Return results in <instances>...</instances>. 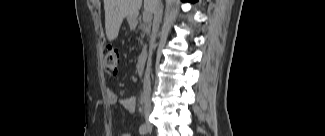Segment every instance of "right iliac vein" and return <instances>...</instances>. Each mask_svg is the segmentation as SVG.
Listing matches in <instances>:
<instances>
[{
  "instance_id": "63e3f726",
  "label": "right iliac vein",
  "mask_w": 325,
  "mask_h": 136,
  "mask_svg": "<svg viewBox=\"0 0 325 136\" xmlns=\"http://www.w3.org/2000/svg\"><path fill=\"white\" fill-rule=\"evenodd\" d=\"M146 124H147V126H149V125H150V122H149V121H147V122H146Z\"/></svg>"
}]
</instances>
